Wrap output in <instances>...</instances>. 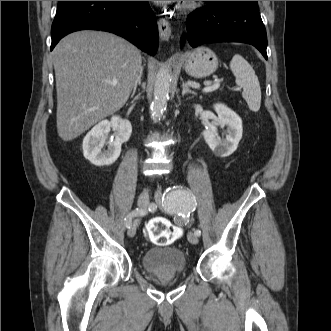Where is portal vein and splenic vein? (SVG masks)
Wrapping results in <instances>:
<instances>
[{
  "instance_id": "1",
  "label": "portal vein and splenic vein",
  "mask_w": 331,
  "mask_h": 331,
  "mask_svg": "<svg viewBox=\"0 0 331 331\" xmlns=\"http://www.w3.org/2000/svg\"><path fill=\"white\" fill-rule=\"evenodd\" d=\"M111 84H112L113 86H116V85H117V81H112ZM219 86H220V81L218 80V81H216L214 84H212L211 86H207V87H205V88L203 89V92H206V93H207V92H212V91L218 89Z\"/></svg>"
}]
</instances>
